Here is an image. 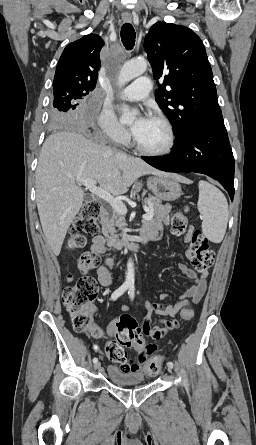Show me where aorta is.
Segmentation results:
<instances>
[{"mask_svg":"<svg viewBox=\"0 0 256 445\" xmlns=\"http://www.w3.org/2000/svg\"><path fill=\"white\" fill-rule=\"evenodd\" d=\"M147 69V62L145 59H136L127 61L123 64L120 74L118 77V85L120 87L124 86L126 83L142 75ZM122 116L120 121L123 123H131L133 122L137 112L131 111L128 106L123 105L122 108ZM126 283L133 284L135 281V268L132 259H129L127 263L126 270Z\"/></svg>","mask_w":256,"mask_h":445,"instance_id":"1","label":"aorta"}]
</instances>
